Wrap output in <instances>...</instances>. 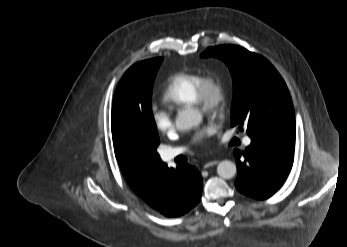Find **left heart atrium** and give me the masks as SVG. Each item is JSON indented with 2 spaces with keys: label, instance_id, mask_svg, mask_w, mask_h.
<instances>
[{
  "label": "left heart atrium",
  "instance_id": "39dd6f15",
  "mask_svg": "<svg viewBox=\"0 0 347 247\" xmlns=\"http://www.w3.org/2000/svg\"><path fill=\"white\" fill-rule=\"evenodd\" d=\"M216 127L213 124H206L199 128L197 132L194 135V140L197 142L204 141L207 139L210 135H212L215 131Z\"/></svg>",
  "mask_w": 347,
  "mask_h": 247
}]
</instances>
